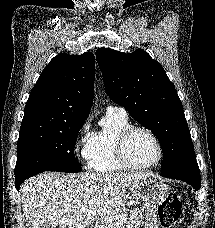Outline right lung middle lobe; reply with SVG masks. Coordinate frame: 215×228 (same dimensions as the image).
<instances>
[{"instance_id": "dd1d6c3e", "label": "right lung middle lobe", "mask_w": 215, "mask_h": 228, "mask_svg": "<svg viewBox=\"0 0 215 228\" xmlns=\"http://www.w3.org/2000/svg\"><path fill=\"white\" fill-rule=\"evenodd\" d=\"M85 122L20 129L15 176L35 171L80 172L74 148Z\"/></svg>"}]
</instances>
